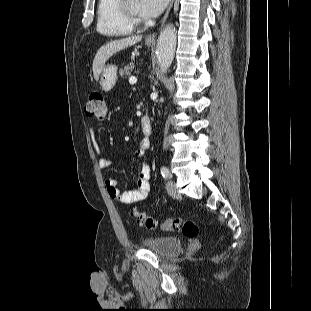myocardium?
<instances>
[{
    "label": "myocardium",
    "instance_id": "myocardium-1",
    "mask_svg": "<svg viewBox=\"0 0 311 311\" xmlns=\"http://www.w3.org/2000/svg\"><path fill=\"white\" fill-rule=\"evenodd\" d=\"M129 0H121V11L125 20L132 26L137 27L143 23L139 14H135L128 5Z\"/></svg>",
    "mask_w": 311,
    "mask_h": 311
}]
</instances>
